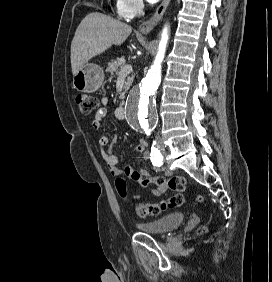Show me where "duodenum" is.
I'll use <instances>...</instances> for the list:
<instances>
[{
	"mask_svg": "<svg viewBox=\"0 0 272 282\" xmlns=\"http://www.w3.org/2000/svg\"><path fill=\"white\" fill-rule=\"evenodd\" d=\"M125 103L123 102L118 108V114L121 115L124 112Z\"/></svg>",
	"mask_w": 272,
	"mask_h": 282,
	"instance_id": "1",
	"label": "duodenum"
}]
</instances>
